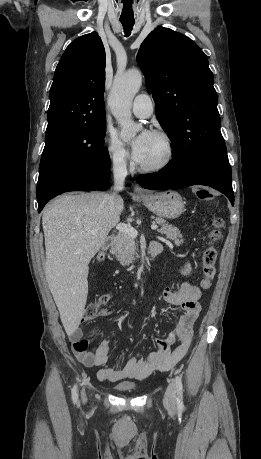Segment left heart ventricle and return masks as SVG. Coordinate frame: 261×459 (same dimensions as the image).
Listing matches in <instances>:
<instances>
[{"label": "left heart ventricle", "mask_w": 261, "mask_h": 459, "mask_svg": "<svg viewBox=\"0 0 261 459\" xmlns=\"http://www.w3.org/2000/svg\"><path fill=\"white\" fill-rule=\"evenodd\" d=\"M166 152L164 142L152 135L145 149L144 159L141 165H152L163 159Z\"/></svg>", "instance_id": "b2bd125f"}]
</instances>
